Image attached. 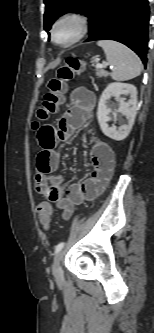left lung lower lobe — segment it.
<instances>
[{
    "label": "left lung lower lobe",
    "mask_w": 154,
    "mask_h": 333,
    "mask_svg": "<svg viewBox=\"0 0 154 333\" xmlns=\"http://www.w3.org/2000/svg\"><path fill=\"white\" fill-rule=\"evenodd\" d=\"M89 17L87 41L114 40L147 62L148 0H98Z\"/></svg>",
    "instance_id": "1"
}]
</instances>
